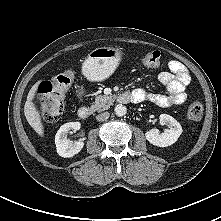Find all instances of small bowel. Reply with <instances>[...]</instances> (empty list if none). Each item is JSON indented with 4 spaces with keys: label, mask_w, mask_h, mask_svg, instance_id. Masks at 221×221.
<instances>
[{
    "label": "small bowel",
    "mask_w": 221,
    "mask_h": 221,
    "mask_svg": "<svg viewBox=\"0 0 221 221\" xmlns=\"http://www.w3.org/2000/svg\"><path fill=\"white\" fill-rule=\"evenodd\" d=\"M170 72L159 75V82L165 87L166 94L148 92L144 89H134L129 92L134 102L150 101L161 107L183 104L186 100V88L190 75L185 66L177 60L168 64Z\"/></svg>",
    "instance_id": "small-bowel-1"
}]
</instances>
